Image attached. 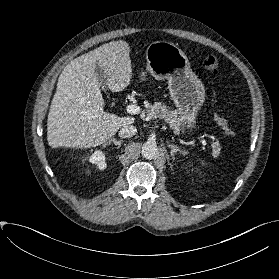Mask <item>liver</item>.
I'll return each instance as SVG.
<instances>
[{"mask_svg": "<svg viewBox=\"0 0 279 279\" xmlns=\"http://www.w3.org/2000/svg\"><path fill=\"white\" fill-rule=\"evenodd\" d=\"M96 65L106 75L108 89L124 90L132 78L129 44L123 40L106 43L75 58L63 69L48 114L50 147H95L135 122L134 117H119L103 110Z\"/></svg>", "mask_w": 279, "mask_h": 279, "instance_id": "6515ba94", "label": "liver"}]
</instances>
